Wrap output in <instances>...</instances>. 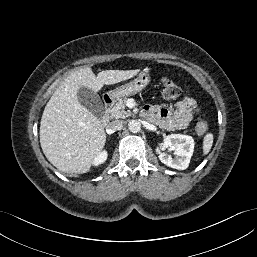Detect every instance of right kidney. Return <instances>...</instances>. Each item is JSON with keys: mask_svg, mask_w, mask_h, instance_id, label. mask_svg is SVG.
I'll return each instance as SVG.
<instances>
[{"mask_svg": "<svg viewBox=\"0 0 257 257\" xmlns=\"http://www.w3.org/2000/svg\"><path fill=\"white\" fill-rule=\"evenodd\" d=\"M108 153L107 151H101L93 160V165L98 166L102 163H104L107 160Z\"/></svg>", "mask_w": 257, "mask_h": 257, "instance_id": "ca27d5eb", "label": "right kidney"}]
</instances>
